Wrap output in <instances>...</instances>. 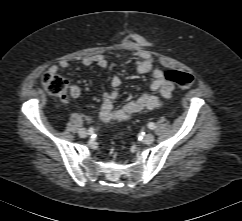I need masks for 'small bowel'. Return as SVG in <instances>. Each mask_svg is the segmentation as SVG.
Here are the masks:
<instances>
[{"instance_id": "obj_1", "label": "small bowel", "mask_w": 242, "mask_h": 221, "mask_svg": "<svg viewBox=\"0 0 242 221\" xmlns=\"http://www.w3.org/2000/svg\"><path fill=\"white\" fill-rule=\"evenodd\" d=\"M119 50L133 53L140 60L136 67V71L139 74L151 72L153 80L148 92H145L136 99L125 103L120 108H115L114 101L118 97L117 89L121 86L122 82L119 77H113L110 81L112 90L104 93L103 95V102L100 110V119L103 122L113 120L125 121L144 110L158 109L162 106L163 100H167L172 97L174 91L173 83L164 78L165 72L161 69L154 68L153 56L141 39L132 37L128 41L121 43L119 45ZM116 57L119 58L120 54L116 53ZM82 64L84 66L96 64L101 68H106L108 66V61L104 55L98 54L84 57L82 59ZM68 67L69 62L67 60H61L57 65H52L49 68V71L56 72L59 68L66 69ZM80 93L81 90L78 86H71L70 95L73 98H78Z\"/></svg>"}]
</instances>
